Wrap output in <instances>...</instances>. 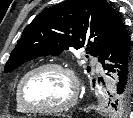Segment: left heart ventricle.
I'll return each mask as SVG.
<instances>
[{"label":"left heart ventricle","instance_id":"left-heart-ventricle-1","mask_svg":"<svg viewBox=\"0 0 133 118\" xmlns=\"http://www.w3.org/2000/svg\"><path fill=\"white\" fill-rule=\"evenodd\" d=\"M72 94L68 75L57 69L33 74L25 86V98L34 107H53L65 103Z\"/></svg>","mask_w":133,"mask_h":118}]
</instances>
